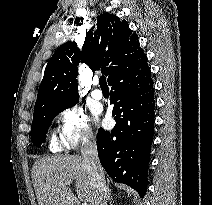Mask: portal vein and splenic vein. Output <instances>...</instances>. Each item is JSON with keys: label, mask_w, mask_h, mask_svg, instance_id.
<instances>
[{"label": "portal vein and splenic vein", "mask_w": 212, "mask_h": 205, "mask_svg": "<svg viewBox=\"0 0 212 205\" xmlns=\"http://www.w3.org/2000/svg\"><path fill=\"white\" fill-rule=\"evenodd\" d=\"M62 185H70L69 182L62 183ZM82 205H88L86 202L82 203Z\"/></svg>", "instance_id": "18ae733b"}]
</instances>
